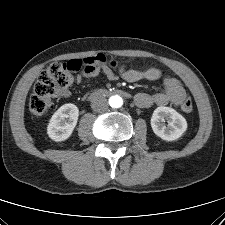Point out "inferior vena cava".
Instances as JSON below:
<instances>
[{"label": "inferior vena cava", "mask_w": 225, "mask_h": 225, "mask_svg": "<svg viewBox=\"0 0 225 225\" xmlns=\"http://www.w3.org/2000/svg\"><path fill=\"white\" fill-rule=\"evenodd\" d=\"M91 107L96 112H105L108 110L109 105L104 96H94L91 102Z\"/></svg>", "instance_id": "1"}]
</instances>
